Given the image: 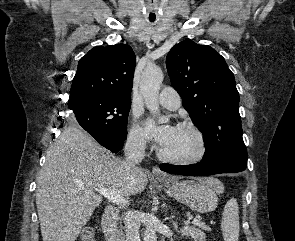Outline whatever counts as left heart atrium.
<instances>
[{
    "label": "left heart atrium",
    "mask_w": 295,
    "mask_h": 241,
    "mask_svg": "<svg viewBox=\"0 0 295 241\" xmlns=\"http://www.w3.org/2000/svg\"><path fill=\"white\" fill-rule=\"evenodd\" d=\"M145 125L149 138L155 141L161 148L171 140L176 129L170 125L159 126L153 119H148Z\"/></svg>",
    "instance_id": "39dd6f15"
}]
</instances>
